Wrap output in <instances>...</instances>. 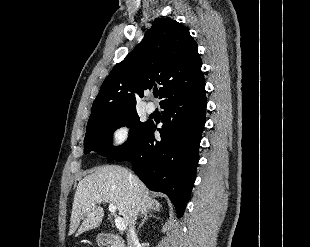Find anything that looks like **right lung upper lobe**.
<instances>
[{
  "instance_id": "obj_1",
  "label": "right lung upper lobe",
  "mask_w": 310,
  "mask_h": 247,
  "mask_svg": "<svg viewBox=\"0 0 310 247\" xmlns=\"http://www.w3.org/2000/svg\"><path fill=\"white\" fill-rule=\"evenodd\" d=\"M197 43L188 28L171 18H158L142 41L104 80L88 123L136 109L143 92L157 85L160 104L204 81Z\"/></svg>"
}]
</instances>
